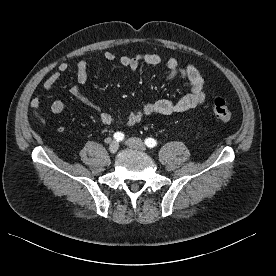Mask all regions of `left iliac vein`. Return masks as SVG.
Masks as SVG:
<instances>
[{
	"label": "left iliac vein",
	"instance_id": "obj_1",
	"mask_svg": "<svg viewBox=\"0 0 276 276\" xmlns=\"http://www.w3.org/2000/svg\"><path fill=\"white\" fill-rule=\"evenodd\" d=\"M126 144L136 150L145 151L146 146L144 145L143 141L139 138H130L126 141Z\"/></svg>",
	"mask_w": 276,
	"mask_h": 276
}]
</instances>
